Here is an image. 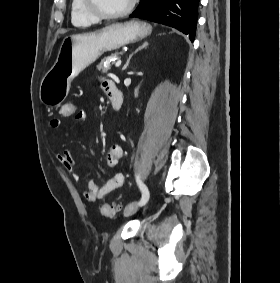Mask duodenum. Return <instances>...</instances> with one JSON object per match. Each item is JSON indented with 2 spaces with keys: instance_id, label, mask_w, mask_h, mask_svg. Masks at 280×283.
Returning a JSON list of instances; mask_svg holds the SVG:
<instances>
[{
  "instance_id": "duodenum-1",
  "label": "duodenum",
  "mask_w": 280,
  "mask_h": 283,
  "mask_svg": "<svg viewBox=\"0 0 280 283\" xmlns=\"http://www.w3.org/2000/svg\"><path fill=\"white\" fill-rule=\"evenodd\" d=\"M107 97L111 103L112 109L119 111L122 106L123 96L121 90L114 82L107 83Z\"/></svg>"
}]
</instances>
